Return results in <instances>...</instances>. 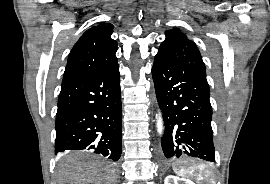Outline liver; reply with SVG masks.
Returning <instances> with one entry per match:
<instances>
[{
	"mask_svg": "<svg viewBox=\"0 0 270 184\" xmlns=\"http://www.w3.org/2000/svg\"><path fill=\"white\" fill-rule=\"evenodd\" d=\"M57 184H116L117 171L113 164L100 160H76L60 166Z\"/></svg>",
	"mask_w": 270,
	"mask_h": 184,
	"instance_id": "obj_1",
	"label": "liver"
}]
</instances>
